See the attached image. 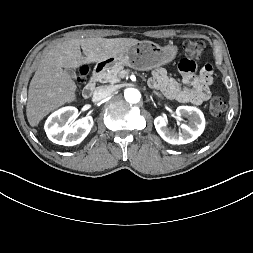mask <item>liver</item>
Masks as SVG:
<instances>
[{
  "mask_svg": "<svg viewBox=\"0 0 253 253\" xmlns=\"http://www.w3.org/2000/svg\"><path fill=\"white\" fill-rule=\"evenodd\" d=\"M138 42L133 38L97 37L63 40L50 48L29 85L26 106L29 124L37 126L51 111L76 100L77 86L63 68L75 69L83 64L105 61Z\"/></svg>",
  "mask_w": 253,
  "mask_h": 253,
  "instance_id": "obj_1",
  "label": "liver"
}]
</instances>
